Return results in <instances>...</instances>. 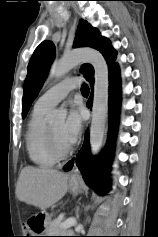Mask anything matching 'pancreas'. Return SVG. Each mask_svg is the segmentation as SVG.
Returning <instances> with one entry per match:
<instances>
[{
    "mask_svg": "<svg viewBox=\"0 0 158 237\" xmlns=\"http://www.w3.org/2000/svg\"><path fill=\"white\" fill-rule=\"evenodd\" d=\"M61 221L53 220L48 222L45 226V232L47 236H62L66 235L65 233H72L71 230L61 228Z\"/></svg>",
    "mask_w": 158,
    "mask_h": 237,
    "instance_id": "obj_1",
    "label": "pancreas"
}]
</instances>
